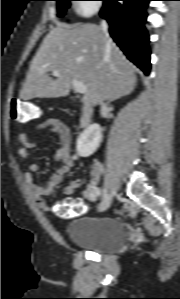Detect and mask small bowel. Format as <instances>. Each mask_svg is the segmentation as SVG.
Listing matches in <instances>:
<instances>
[{"label":"small bowel","instance_id":"small-bowel-1","mask_svg":"<svg viewBox=\"0 0 180 299\" xmlns=\"http://www.w3.org/2000/svg\"><path fill=\"white\" fill-rule=\"evenodd\" d=\"M33 130L35 132L48 131L56 134L59 138V148L54 155V159L58 162L59 166L57 170L51 174L49 179L42 185H38L33 177V174L38 171L39 166L37 163L29 162L27 164V172L24 174V180L30 197L36 202V204L45 212H51L54 210L53 206L49 205L45 197L48 196L63 180V176L73 166L74 161L71 154V137L68 126L58 118H47L37 123ZM26 134L21 133L17 136V143L23 145L18 149V155L20 158L27 160L29 158L28 149L36 148L38 143L27 142ZM103 171L101 163L94 162L91 166V174L93 180L88 185L84 192V197L88 200H93L98 194L97 180ZM82 184L81 179L72 178L68 184L63 188V193L67 196L72 195L76 189ZM57 209V205H56Z\"/></svg>","mask_w":180,"mask_h":299}]
</instances>
